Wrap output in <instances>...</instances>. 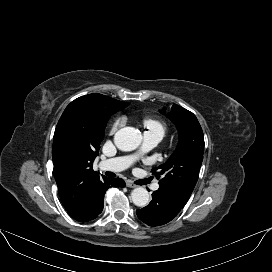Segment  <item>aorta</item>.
I'll return each mask as SVG.
<instances>
[{"label":"aorta","mask_w":272,"mask_h":272,"mask_svg":"<svg viewBox=\"0 0 272 272\" xmlns=\"http://www.w3.org/2000/svg\"><path fill=\"white\" fill-rule=\"evenodd\" d=\"M141 139L140 131L134 127H124L118 130L114 136L115 145L122 151L135 150L140 145ZM131 199L134 205L145 207L148 205L150 197L146 189L137 187L132 191Z\"/></svg>","instance_id":"762f6f07"}]
</instances>
